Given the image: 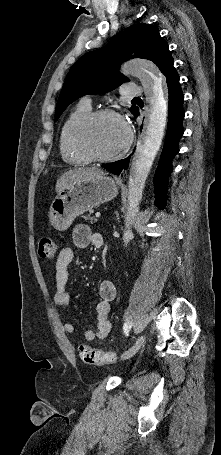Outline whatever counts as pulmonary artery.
<instances>
[{"mask_svg":"<svg viewBox=\"0 0 221 455\" xmlns=\"http://www.w3.org/2000/svg\"><path fill=\"white\" fill-rule=\"evenodd\" d=\"M121 94L123 96H128V97H136V96L142 95V90H141L140 86H138L136 84L128 83L122 87ZM82 101L87 104L91 103V100L88 97H85Z\"/></svg>","mask_w":221,"mask_h":455,"instance_id":"obj_1","label":"pulmonary artery"}]
</instances>
